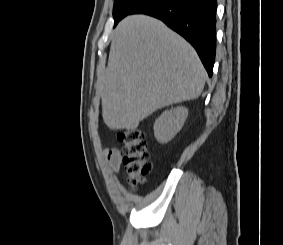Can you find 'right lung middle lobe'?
I'll return each mask as SVG.
<instances>
[{"mask_svg":"<svg viewBox=\"0 0 283 245\" xmlns=\"http://www.w3.org/2000/svg\"><path fill=\"white\" fill-rule=\"evenodd\" d=\"M146 0H115L113 7L114 25L130 14L138 5Z\"/></svg>","mask_w":283,"mask_h":245,"instance_id":"dd1d6c3e","label":"right lung middle lobe"}]
</instances>
